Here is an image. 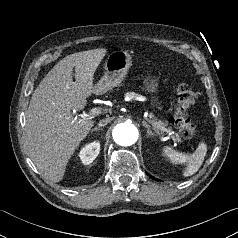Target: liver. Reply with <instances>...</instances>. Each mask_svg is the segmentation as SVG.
<instances>
[{
  "mask_svg": "<svg viewBox=\"0 0 238 238\" xmlns=\"http://www.w3.org/2000/svg\"><path fill=\"white\" fill-rule=\"evenodd\" d=\"M106 53L101 48L66 56L32 94L25 143L36 167L53 182L63 179L68 161L94 124L90 118L74 117L71 110H82L86 99L97 94L94 73Z\"/></svg>",
  "mask_w": 238,
  "mask_h": 238,
  "instance_id": "1",
  "label": "liver"
}]
</instances>
